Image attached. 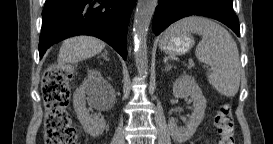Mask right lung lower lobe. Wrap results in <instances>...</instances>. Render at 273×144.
I'll return each mask as SVG.
<instances>
[{
    "instance_id": "98d812e1",
    "label": "right lung lower lobe",
    "mask_w": 273,
    "mask_h": 144,
    "mask_svg": "<svg viewBox=\"0 0 273 144\" xmlns=\"http://www.w3.org/2000/svg\"><path fill=\"white\" fill-rule=\"evenodd\" d=\"M136 0H46L39 54L61 40L92 35L111 45L124 59L129 18Z\"/></svg>"
}]
</instances>
